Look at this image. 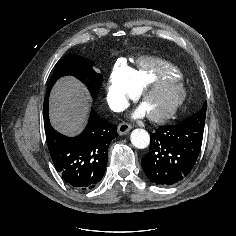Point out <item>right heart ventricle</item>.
Segmentation results:
<instances>
[{"mask_svg":"<svg viewBox=\"0 0 236 236\" xmlns=\"http://www.w3.org/2000/svg\"><path fill=\"white\" fill-rule=\"evenodd\" d=\"M130 83L135 92L145 84L163 77L180 78L181 72L173 64L154 57H143L130 68Z\"/></svg>","mask_w":236,"mask_h":236,"instance_id":"right-heart-ventricle-1","label":"right heart ventricle"}]
</instances>
